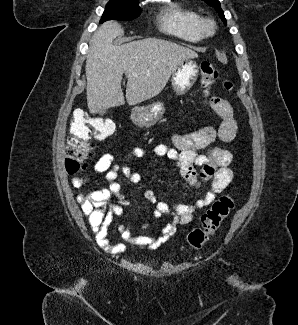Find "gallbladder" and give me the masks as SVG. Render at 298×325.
Instances as JSON below:
<instances>
[{"instance_id": "obj_1", "label": "gallbladder", "mask_w": 298, "mask_h": 325, "mask_svg": "<svg viewBox=\"0 0 298 325\" xmlns=\"http://www.w3.org/2000/svg\"><path fill=\"white\" fill-rule=\"evenodd\" d=\"M99 114H105V112H107V108H100V110H98Z\"/></svg>"}]
</instances>
